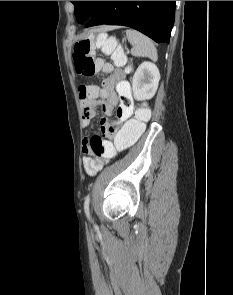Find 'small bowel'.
Segmentation results:
<instances>
[{
  "mask_svg": "<svg viewBox=\"0 0 233 295\" xmlns=\"http://www.w3.org/2000/svg\"><path fill=\"white\" fill-rule=\"evenodd\" d=\"M82 104V119L85 126H89L96 116V109L101 106L107 116L116 110V120L103 118L100 122L102 133L110 127L118 128L122 123L129 121L134 111V101L129 82L120 72L115 73L104 81L98 95L80 98ZM83 167L89 176H94L106 165L108 158L94 156L90 151L89 139L84 142Z\"/></svg>",
  "mask_w": 233,
  "mask_h": 295,
  "instance_id": "small-bowel-1",
  "label": "small bowel"
}]
</instances>
